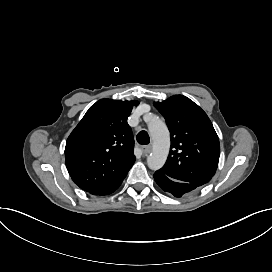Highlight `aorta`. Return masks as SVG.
<instances>
[{
	"mask_svg": "<svg viewBox=\"0 0 272 272\" xmlns=\"http://www.w3.org/2000/svg\"><path fill=\"white\" fill-rule=\"evenodd\" d=\"M149 136L152 140V152L147 158L150 169L161 168L168 157L170 148V135L166 124L154 116L149 125Z\"/></svg>",
	"mask_w": 272,
	"mask_h": 272,
	"instance_id": "1",
	"label": "aorta"
}]
</instances>
